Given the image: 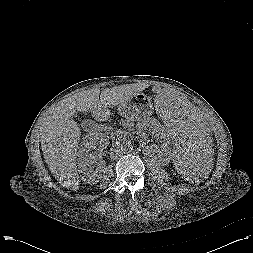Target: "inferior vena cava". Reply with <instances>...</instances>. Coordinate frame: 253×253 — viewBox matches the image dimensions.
<instances>
[{"label": "inferior vena cava", "mask_w": 253, "mask_h": 253, "mask_svg": "<svg viewBox=\"0 0 253 253\" xmlns=\"http://www.w3.org/2000/svg\"><path fill=\"white\" fill-rule=\"evenodd\" d=\"M99 130V129H98ZM95 133H98V131L97 130H95L94 131ZM111 155H112V157L113 158H117V157H119V156H121L122 155V151H121V149H120V146H115L112 150H111Z\"/></svg>", "instance_id": "inferior-vena-cava-1"}]
</instances>
